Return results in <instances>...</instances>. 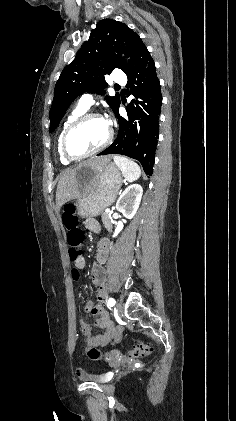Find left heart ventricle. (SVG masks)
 <instances>
[{"label":"left heart ventricle","instance_id":"1","mask_svg":"<svg viewBox=\"0 0 236 421\" xmlns=\"http://www.w3.org/2000/svg\"><path fill=\"white\" fill-rule=\"evenodd\" d=\"M108 134V124L102 119H88L71 133L69 147L77 155L85 154L101 145Z\"/></svg>","mask_w":236,"mask_h":421}]
</instances>
